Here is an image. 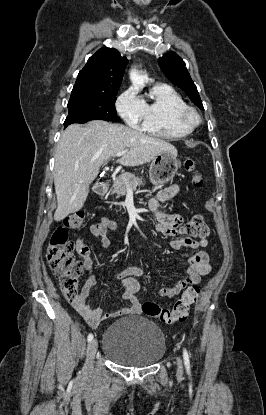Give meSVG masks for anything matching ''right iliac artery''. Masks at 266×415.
Instances as JSON below:
<instances>
[{"mask_svg": "<svg viewBox=\"0 0 266 415\" xmlns=\"http://www.w3.org/2000/svg\"><path fill=\"white\" fill-rule=\"evenodd\" d=\"M92 339H93V334H89L88 337H87V340L91 341Z\"/></svg>", "mask_w": 266, "mask_h": 415, "instance_id": "right-iliac-artery-1", "label": "right iliac artery"}]
</instances>
